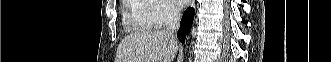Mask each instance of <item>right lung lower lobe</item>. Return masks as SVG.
<instances>
[{
	"label": "right lung lower lobe",
	"instance_id": "right-lung-lower-lobe-1",
	"mask_svg": "<svg viewBox=\"0 0 331 62\" xmlns=\"http://www.w3.org/2000/svg\"><path fill=\"white\" fill-rule=\"evenodd\" d=\"M193 18H194V9L193 8L187 9L182 17L180 29L178 31V39L182 43H184L186 35L190 31V28L193 23Z\"/></svg>",
	"mask_w": 331,
	"mask_h": 62
}]
</instances>
